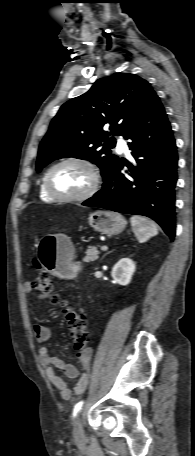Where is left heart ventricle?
<instances>
[{"label": "left heart ventricle", "instance_id": "b2bd125f", "mask_svg": "<svg viewBox=\"0 0 195 456\" xmlns=\"http://www.w3.org/2000/svg\"><path fill=\"white\" fill-rule=\"evenodd\" d=\"M91 184L89 170L80 164L67 163L57 167L50 175V185L58 194L65 196L79 195Z\"/></svg>", "mask_w": 195, "mask_h": 456}]
</instances>
